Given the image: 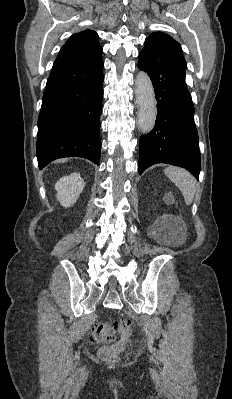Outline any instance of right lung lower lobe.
<instances>
[{
	"instance_id": "obj_1",
	"label": "right lung lower lobe",
	"mask_w": 232,
	"mask_h": 399,
	"mask_svg": "<svg viewBox=\"0 0 232 399\" xmlns=\"http://www.w3.org/2000/svg\"><path fill=\"white\" fill-rule=\"evenodd\" d=\"M103 78L101 53L55 60L38 118L40 169L70 156L99 164Z\"/></svg>"
}]
</instances>
